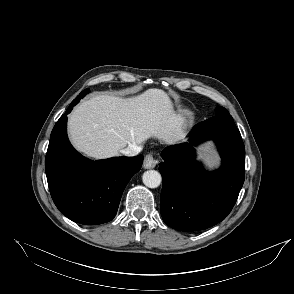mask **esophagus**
Instances as JSON below:
<instances>
[{
	"label": "esophagus",
	"mask_w": 294,
	"mask_h": 294,
	"mask_svg": "<svg viewBox=\"0 0 294 294\" xmlns=\"http://www.w3.org/2000/svg\"><path fill=\"white\" fill-rule=\"evenodd\" d=\"M157 162L153 158L152 155L148 154L145 156L144 161H143V167L144 169H152L156 166Z\"/></svg>",
	"instance_id": "34e87169"
}]
</instances>
